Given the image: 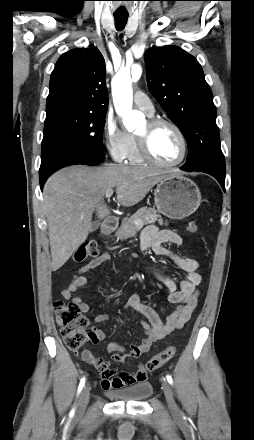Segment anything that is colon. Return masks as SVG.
Segmentation results:
<instances>
[{
	"label": "colon",
	"mask_w": 254,
	"mask_h": 440,
	"mask_svg": "<svg viewBox=\"0 0 254 440\" xmlns=\"http://www.w3.org/2000/svg\"><path fill=\"white\" fill-rule=\"evenodd\" d=\"M188 231L197 234L199 231L195 221H191L188 225ZM98 247L94 242H85L81 244L73 253L72 259L75 262H83L90 257L98 255ZM57 324L60 327V334L65 345L70 350L82 349L88 340L93 336V332L88 330L89 321L80 313L79 308L72 302H64L58 300L54 303ZM175 346H169L159 354L153 356L145 364V369L152 372L175 355Z\"/></svg>",
	"instance_id": "colon-1"
}]
</instances>
